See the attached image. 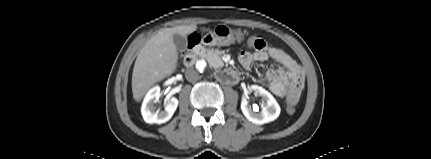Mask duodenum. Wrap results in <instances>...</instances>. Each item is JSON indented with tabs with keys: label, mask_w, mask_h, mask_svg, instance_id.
I'll list each match as a JSON object with an SVG mask.
<instances>
[{
	"label": "duodenum",
	"mask_w": 431,
	"mask_h": 159,
	"mask_svg": "<svg viewBox=\"0 0 431 159\" xmlns=\"http://www.w3.org/2000/svg\"><path fill=\"white\" fill-rule=\"evenodd\" d=\"M201 44L196 41H191V50L184 57V64L186 67H191L197 57V50L200 48ZM219 78L225 83H235L238 80V73L229 68H224L219 71Z\"/></svg>",
	"instance_id": "duodenum-1"
}]
</instances>
